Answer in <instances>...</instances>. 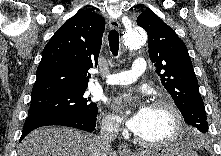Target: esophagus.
<instances>
[{
	"instance_id": "1",
	"label": "esophagus",
	"mask_w": 221,
	"mask_h": 156,
	"mask_svg": "<svg viewBox=\"0 0 221 156\" xmlns=\"http://www.w3.org/2000/svg\"><path fill=\"white\" fill-rule=\"evenodd\" d=\"M109 26L112 29L118 30L120 28V23L117 19H111L109 21ZM118 152L121 156H133L131 149L126 144L118 145Z\"/></svg>"
}]
</instances>
